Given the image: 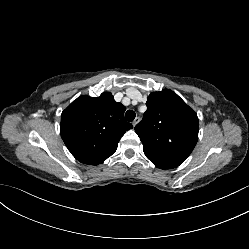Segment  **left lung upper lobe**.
Returning a JSON list of instances; mask_svg holds the SVG:
<instances>
[{"instance_id":"5c2ea615","label":"left lung upper lobe","mask_w":249,"mask_h":249,"mask_svg":"<svg viewBox=\"0 0 249 249\" xmlns=\"http://www.w3.org/2000/svg\"><path fill=\"white\" fill-rule=\"evenodd\" d=\"M146 105L143 120L135 126L144 154L158 168H176L197 143V114L169 89L151 93Z\"/></svg>"}]
</instances>
